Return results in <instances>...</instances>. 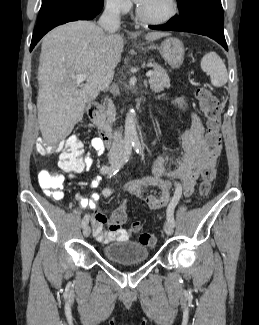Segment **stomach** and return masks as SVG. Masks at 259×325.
<instances>
[{"instance_id":"stomach-1","label":"stomach","mask_w":259,"mask_h":325,"mask_svg":"<svg viewBox=\"0 0 259 325\" xmlns=\"http://www.w3.org/2000/svg\"><path fill=\"white\" fill-rule=\"evenodd\" d=\"M151 48L158 49L163 59L172 67L178 68L182 65L184 60V45L174 37L165 39L161 45H150Z\"/></svg>"}]
</instances>
